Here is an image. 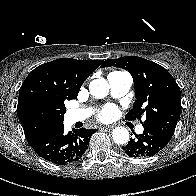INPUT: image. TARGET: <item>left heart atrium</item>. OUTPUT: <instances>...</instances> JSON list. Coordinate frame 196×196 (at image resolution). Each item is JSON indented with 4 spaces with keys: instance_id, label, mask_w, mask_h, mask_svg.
<instances>
[{
    "instance_id": "obj_1",
    "label": "left heart atrium",
    "mask_w": 196,
    "mask_h": 196,
    "mask_svg": "<svg viewBox=\"0 0 196 196\" xmlns=\"http://www.w3.org/2000/svg\"><path fill=\"white\" fill-rule=\"evenodd\" d=\"M116 113H117V109H116L115 106H113V105H107V106H105L101 110V112L99 114V119L101 121H109L113 117H115Z\"/></svg>"
}]
</instances>
